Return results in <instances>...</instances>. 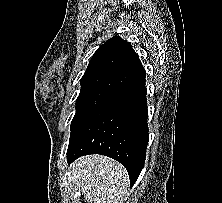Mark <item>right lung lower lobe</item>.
Returning a JSON list of instances; mask_svg holds the SVG:
<instances>
[{
	"mask_svg": "<svg viewBox=\"0 0 222 203\" xmlns=\"http://www.w3.org/2000/svg\"><path fill=\"white\" fill-rule=\"evenodd\" d=\"M145 81L144 71L72 129L69 164L88 154L106 155L127 169L133 186L144 167L148 144Z\"/></svg>",
	"mask_w": 222,
	"mask_h": 203,
	"instance_id": "obj_1",
	"label": "right lung lower lobe"
}]
</instances>
